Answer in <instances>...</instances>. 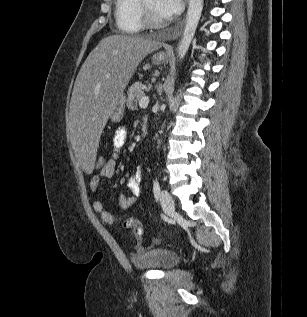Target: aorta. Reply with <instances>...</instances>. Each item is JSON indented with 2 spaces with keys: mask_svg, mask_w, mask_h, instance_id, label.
Returning a JSON list of instances; mask_svg holds the SVG:
<instances>
[{
  "mask_svg": "<svg viewBox=\"0 0 307 317\" xmlns=\"http://www.w3.org/2000/svg\"><path fill=\"white\" fill-rule=\"evenodd\" d=\"M203 10V0H189L186 26L178 47V58L182 60L193 40Z\"/></svg>",
  "mask_w": 307,
  "mask_h": 317,
  "instance_id": "aorta-1",
  "label": "aorta"
}]
</instances>
